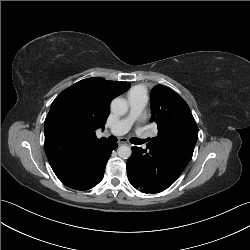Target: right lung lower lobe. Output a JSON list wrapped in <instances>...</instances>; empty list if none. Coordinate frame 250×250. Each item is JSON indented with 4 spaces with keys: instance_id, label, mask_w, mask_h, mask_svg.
<instances>
[{
    "instance_id": "obj_1",
    "label": "right lung lower lobe",
    "mask_w": 250,
    "mask_h": 250,
    "mask_svg": "<svg viewBox=\"0 0 250 250\" xmlns=\"http://www.w3.org/2000/svg\"><path fill=\"white\" fill-rule=\"evenodd\" d=\"M117 146V144L109 143L108 141L100 145L88 162L90 174L87 179L79 186L71 188L88 190L96 186L103 179L106 163L111 156V152Z\"/></svg>"
}]
</instances>
